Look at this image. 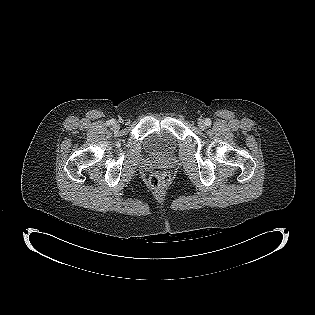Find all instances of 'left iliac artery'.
I'll list each match as a JSON object with an SVG mask.
<instances>
[{
	"label": "left iliac artery",
	"mask_w": 315,
	"mask_h": 315,
	"mask_svg": "<svg viewBox=\"0 0 315 315\" xmlns=\"http://www.w3.org/2000/svg\"><path fill=\"white\" fill-rule=\"evenodd\" d=\"M205 125L210 126L211 125V120L209 118H207L205 120Z\"/></svg>",
	"instance_id": "1"
}]
</instances>
